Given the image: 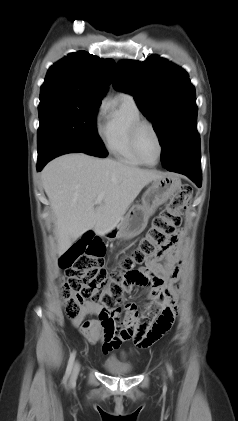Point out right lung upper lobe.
I'll return each mask as SVG.
<instances>
[{
  "label": "right lung upper lobe",
  "mask_w": 238,
  "mask_h": 421,
  "mask_svg": "<svg viewBox=\"0 0 238 421\" xmlns=\"http://www.w3.org/2000/svg\"><path fill=\"white\" fill-rule=\"evenodd\" d=\"M115 61L86 51L70 53L52 65L41 91L57 90L102 98L111 82Z\"/></svg>",
  "instance_id": "1"
}]
</instances>
